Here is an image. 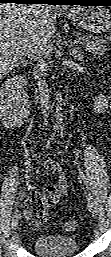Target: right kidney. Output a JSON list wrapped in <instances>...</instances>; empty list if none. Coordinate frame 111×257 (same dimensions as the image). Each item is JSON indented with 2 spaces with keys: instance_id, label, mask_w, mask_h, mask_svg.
Instances as JSON below:
<instances>
[{
  "instance_id": "1",
  "label": "right kidney",
  "mask_w": 111,
  "mask_h": 257,
  "mask_svg": "<svg viewBox=\"0 0 111 257\" xmlns=\"http://www.w3.org/2000/svg\"><path fill=\"white\" fill-rule=\"evenodd\" d=\"M25 90L26 81L22 75H15L1 85L0 109L4 123H9L11 118L15 117L18 112L29 108V97Z\"/></svg>"
}]
</instances>
